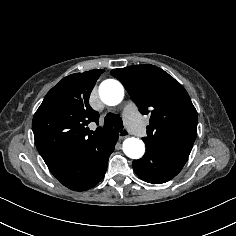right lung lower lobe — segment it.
Segmentation results:
<instances>
[{
	"instance_id": "obj_1",
	"label": "right lung lower lobe",
	"mask_w": 236,
	"mask_h": 236,
	"mask_svg": "<svg viewBox=\"0 0 236 236\" xmlns=\"http://www.w3.org/2000/svg\"><path fill=\"white\" fill-rule=\"evenodd\" d=\"M117 140L118 133L115 131L80 156L49 166V170L72 190L90 189L104 177L109 156L114 151Z\"/></svg>"
}]
</instances>
